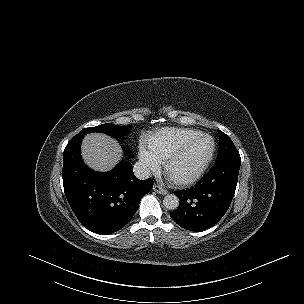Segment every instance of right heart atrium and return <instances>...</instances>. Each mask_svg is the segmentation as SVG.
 Wrapping results in <instances>:
<instances>
[{
    "mask_svg": "<svg viewBox=\"0 0 304 304\" xmlns=\"http://www.w3.org/2000/svg\"><path fill=\"white\" fill-rule=\"evenodd\" d=\"M138 155L140 163L145 171H156L160 167V156L145 142H142L139 145Z\"/></svg>",
    "mask_w": 304,
    "mask_h": 304,
    "instance_id": "1",
    "label": "right heart atrium"
}]
</instances>
